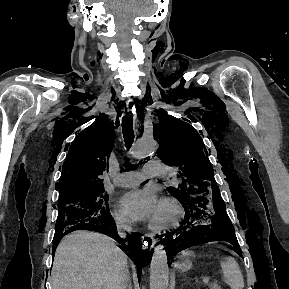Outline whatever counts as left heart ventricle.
I'll return each mask as SVG.
<instances>
[{
  "label": "left heart ventricle",
  "mask_w": 289,
  "mask_h": 289,
  "mask_svg": "<svg viewBox=\"0 0 289 289\" xmlns=\"http://www.w3.org/2000/svg\"><path fill=\"white\" fill-rule=\"evenodd\" d=\"M170 216H171V212L168 209H166L165 207H159L157 214L152 220H154L157 223H160L169 219Z\"/></svg>",
  "instance_id": "left-heart-ventricle-1"
}]
</instances>
